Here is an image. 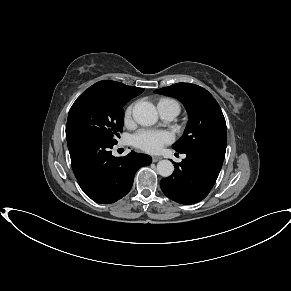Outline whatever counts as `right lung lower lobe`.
<instances>
[{
	"label": "right lung lower lobe",
	"instance_id": "1",
	"mask_svg": "<svg viewBox=\"0 0 291 291\" xmlns=\"http://www.w3.org/2000/svg\"><path fill=\"white\" fill-rule=\"evenodd\" d=\"M72 169L83 192L98 203H114L131 189L136 171L148 166L152 158L131 152L115 158L114 145L93 136L66 134Z\"/></svg>",
	"mask_w": 291,
	"mask_h": 291
}]
</instances>
